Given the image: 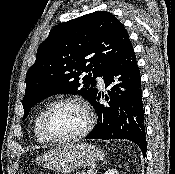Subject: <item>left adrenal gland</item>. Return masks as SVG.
Wrapping results in <instances>:
<instances>
[{
  "label": "left adrenal gland",
  "mask_w": 175,
  "mask_h": 174,
  "mask_svg": "<svg viewBox=\"0 0 175 174\" xmlns=\"http://www.w3.org/2000/svg\"><path fill=\"white\" fill-rule=\"evenodd\" d=\"M105 163H106L105 159H102V164L100 165V167L103 166ZM100 167H99V168H100ZM97 171H98V170H96L94 174H96Z\"/></svg>",
  "instance_id": "a2214340"
}]
</instances>
